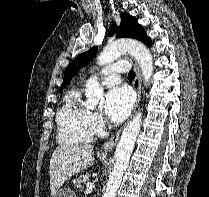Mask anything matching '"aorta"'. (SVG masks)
<instances>
[{"label":"aorta","instance_id":"aorta-1","mask_svg":"<svg viewBox=\"0 0 209 197\" xmlns=\"http://www.w3.org/2000/svg\"><path fill=\"white\" fill-rule=\"evenodd\" d=\"M124 53L131 54L138 62L144 83L148 84L153 75V57L148 48L139 41L122 39L106 46L97 58L100 66L115 61ZM86 106L94 108L103 100V89L97 77H91L86 82ZM142 113L138 112L124 128L114 154V169L110 174L106 191L102 197H115L116 191L126 171L136 138L140 132Z\"/></svg>","mask_w":209,"mask_h":197}]
</instances>
